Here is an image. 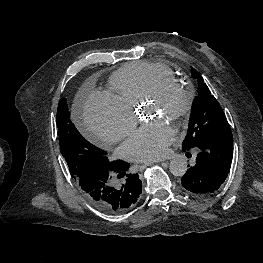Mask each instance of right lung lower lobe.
Masks as SVG:
<instances>
[{
  "label": "right lung lower lobe",
  "mask_w": 263,
  "mask_h": 263,
  "mask_svg": "<svg viewBox=\"0 0 263 263\" xmlns=\"http://www.w3.org/2000/svg\"><path fill=\"white\" fill-rule=\"evenodd\" d=\"M109 170L90 172L77 179L85 197L98 209L112 213L113 209L133 207L137 202L142 188L138 174H126L129 164L117 160L112 162ZM125 175L122 185H114L112 176Z\"/></svg>",
  "instance_id": "1"
}]
</instances>
